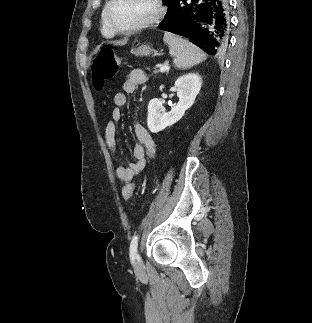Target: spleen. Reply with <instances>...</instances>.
<instances>
[{"instance_id":"3e777b00","label":"spleen","mask_w":312,"mask_h":323,"mask_svg":"<svg viewBox=\"0 0 312 323\" xmlns=\"http://www.w3.org/2000/svg\"><path fill=\"white\" fill-rule=\"evenodd\" d=\"M163 40L169 46L170 56H173L176 68L180 70H189L206 60V54L182 36L165 32Z\"/></svg>"}]
</instances>
